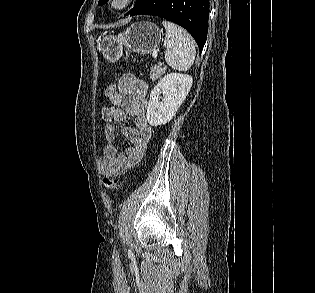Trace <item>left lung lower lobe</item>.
<instances>
[{"mask_svg": "<svg viewBox=\"0 0 315 293\" xmlns=\"http://www.w3.org/2000/svg\"><path fill=\"white\" fill-rule=\"evenodd\" d=\"M154 15L175 22L195 39L200 52L207 39L209 0H144L130 16Z\"/></svg>", "mask_w": 315, "mask_h": 293, "instance_id": "obj_1", "label": "left lung lower lobe"}]
</instances>
